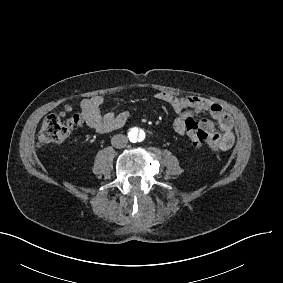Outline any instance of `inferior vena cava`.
Listing matches in <instances>:
<instances>
[{"instance_id":"obj_1","label":"inferior vena cava","mask_w":283,"mask_h":283,"mask_svg":"<svg viewBox=\"0 0 283 283\" xmlns=\"http://www.w3.org/2000/svg\"><path fill=\"white\" fill-rule=\"evenodd\" d=\"M128 143V138L123 134L114 135L111 139V144L115 148H124Z\"/></svg>"}]
</instances>
